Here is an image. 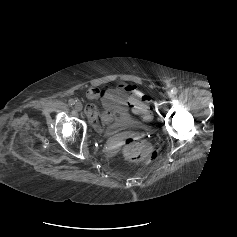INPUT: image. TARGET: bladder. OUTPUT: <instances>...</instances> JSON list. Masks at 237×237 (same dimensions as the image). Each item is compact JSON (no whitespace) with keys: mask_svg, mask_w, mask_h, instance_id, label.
I'll list each match as a JSON object with an SVG mask.
<instances>
[{"mask_svg":"<svg viewBox=\"0 0 237 237\" xmlns=\"http://www.w3.org/2000/svg\"><path fill=\"white\" fill-rule=\"evenodd\" d=\"M132 124L131 120L125 121V122H120L115 124L112 128H111V133L116 132L117 130L124 128V127H128Z\"/></svg>","mask_w":237,"mask_h":237,"instance_id":"bladder-1","label":"bladder"}]
</instances>
